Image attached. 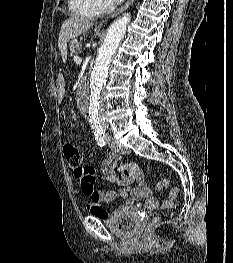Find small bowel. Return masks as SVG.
Here are the masks:
<instances>
[{
    "label": "small bowel",
    "mask_w": 233,
    "mask_h": 263,
    "mask_svg": "<svg viewBox=\"0 0 233 263\" xmlns=\"http://www.w3.org/2000/svg\"><path fill=\"white\" fill-rule=\"evenodd\" d=\"M90 170L87 174L76 175L81 180L82 192L90 199V212L100 218L107 219L109 214L103 204L114 201L117 197L123 199L122 208L143 209L152 212L159 207V202L151 197L145 176L135 162L120 164V156L116 153L107 155L101 162L99 173L105 181L116 186L106 191L96 187L97 170L91 165L84 166ZM145 199L143 205H134L135 202Z\"/></svg>",
    "instance_id": "c3829d8e"
}]
</instances>
